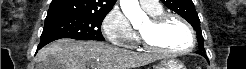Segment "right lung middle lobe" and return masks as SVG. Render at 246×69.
I'll return each instance as SVG.
<instances>
[{
    "label": "right lung middle lobe",
    "instance_id": "obj_1",
    "mask_svg": "<svg viewBox=\"0 0 246 69\" xmlns=\"http://www.w3.org/2000/svg\"><path fill=\"white\" fill-rule=\"evenodd\" d=\"M105 15H63L45 19L41 40L72 38L105 41L101 24Z\"/></svg>",
    "mask_w": 246,
    "mask_h": 69
}]
</instances>
